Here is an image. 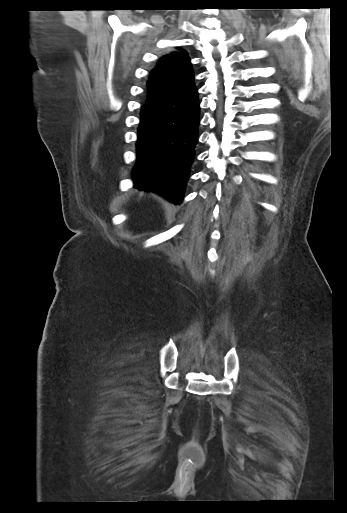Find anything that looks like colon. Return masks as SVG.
<instances>
[{"label": "colon", "instance_id": "1", "mask_svg": "<svg viewBox=\"0 0 347 513\" xmlns=\"http://www.w3.org/2000/svg\"><path fill=\"white\" fill-rule=\"evenodd\" d=\"M184 458L193 463L199 464L202 462L203 453L196 442H191L185 447Z\"/></svg>", "mask_w": 347, "mask_h": 513}]
</instances>
